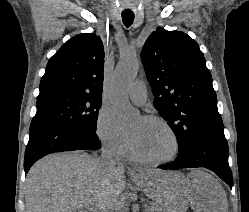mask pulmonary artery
Wrapping results in <instances>:
<instances>
[{
	"label": "pulmonary artery",
	"instance_id": "pulmonary-artery-1",
	"mask_svg": "<svg viewBox=\"0 0 249 212\" xmlns=\"http://www.w3.org/2000/svg\"><path fill=\"white\" fill-rule=\"evenodd\" d=\"M130 99L137 105L142 106L147 99L146 84L143 80H136L129 89Z\"/></svg>",
	"mask_w": 249,
	"mask_h": 212
}]
</instances>
